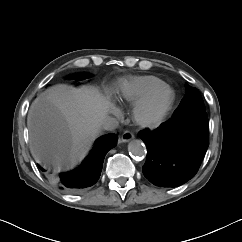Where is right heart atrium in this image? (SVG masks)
<instances>
[{
	"instance_id": "1",
	"label": "right heart atrium",
	"mask_w": 242,
	"mask_h": 242,
	"mask_svg": "<svg viewBox=\"0 0 242 242\" xmlns=\"http://www.w3.org/2000/svg\"><path fill=\"white\" fill-rule=\"evenodd\" d=\"M110 109H111L112 111H116V108H115V106H114L113 103H110Z\"/></svg>"
}]
</instances>
